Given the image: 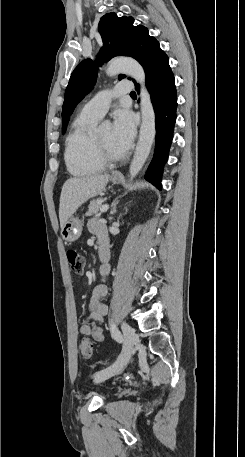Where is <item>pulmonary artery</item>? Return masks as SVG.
Here are the masks:
<instances>
[{
    "instance_id": "pulmonary-artery-1",
    "label": "pulmonary artery",
    "mask_w": 245,
    "mask_h": 457,
    "mask_svg": "<svg viewBox=\"0 0 245 457\" xmlns=\"http://www.w3.org/2000/svg\"><path fill=\"white\" fill-rule=\"evenodd\" d=\"M136 87V80H117L116 86H105L104 93H96L95 100L85 103L80 115L93 119L101 118L113 100H119L121 95H132Z\"/></svg>"
}]
</instances>
